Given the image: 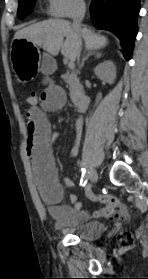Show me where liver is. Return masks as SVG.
<instances>
[{
    "label": "liver",
    "instance_id": "liver-1",
    "mask_svg": "<svg viewBox=\"0 0 148 279\" xmlns=\"http://www.w3.org/2000/svg\"><path fill=\"white\" fill-rule=\"evenodd\" d=\"M79 36L80 39L84 40L88 50L103 48L108 43L105 36L96 34L87 27L81 29ZM20 38L26 39L38 47H42L52 56H56L61 50L65 58L72 61L77 58V35L69 21L50 19L32 24L15 33V39Z\"/></svg>",
    "mask_w": 148,
    "mask_h": 279
}]
</instances>
